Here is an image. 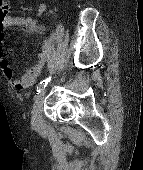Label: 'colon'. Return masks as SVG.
I'll list each match as a JSON object with an SVG mask.
<instances>
[{"label": "colon", "mask_w": 143, "mask_h": 170, "mask_svg": "<svg viewBox=\"0 0 143 170\" xmlns=\"http://www.w3.org/2000/svg\"><path fill=\"white\" fill-rule=\"evenodd\" d=\"M8 1L0 0V18H4L8 14Z\"/></svg>", "instance_id": "colon-1"}]
</instances>
